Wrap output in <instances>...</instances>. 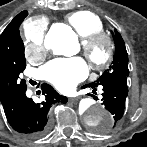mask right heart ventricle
I'll return each mask as SVG.
<instances>
[{"mask_svg": "<svg viewBox=\"0 0 147 147\" xmlns=\"http://www.w3.org/2000/svg\"><path fill=\"white\" fill-rule=\"evenodd\" d=\"M66 20L76 33L84 40L103 31L101 19L90 11H78L67 16Z\"/></svg>", "mask_w": 147, "mask_h": 147, "instance_id": "e07e8e85", "label": "right heart ventricle"}]
</instances>
